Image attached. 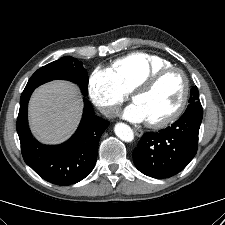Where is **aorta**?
<instances>
[{"label": "aorta", "mask_w": 225, "mask_h": 225, "mask_svg": "<svg viewBox=\"0 0 225 225\" xmlns=\"http://www.w3.org/2000/svg\"><path fill=\"white\" fill-rule=\"evenodd\" d=\"M115 134L122 141L131 142L134 139V133L130 126L124 123H117L114 128Z\"/></svg>", "instance_id": "aorta-1"}]
</instances>
